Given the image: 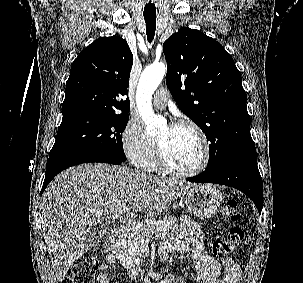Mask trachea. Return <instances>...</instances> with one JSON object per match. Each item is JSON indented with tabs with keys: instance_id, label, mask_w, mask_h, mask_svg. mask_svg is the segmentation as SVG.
Returning <instances> with one entry per match:
<instances>
[{
	"instance_id": "trachea-1",
	"label": "trachea",
	"mask_w": 303,
	"mask_h": 283,
	"mask_svg": "<svg viewBox=\"0 0 303 283\" xmlns=\"http://www.w3.org/2000/svg\"><path fill=\"white\" fill-rule=\"evenodd\" d=\"M146 22V34L149 43L152 42L156 29V16L144 15Z\"/></svg>"
}]
</instances>
